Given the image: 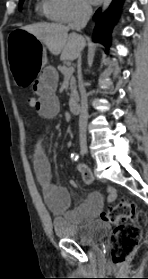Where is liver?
<instances>
[{"instance_id": "liver-1", "label": "liver", "mask_w": 148, "mask_h": 279, "mask_svg": "<svg viewBox=\"0 0 148 279\" xmlns=\"http://www.w3.org/2000/svg\"><path fill=\"white\" fill-rule=\"evenodd\" d=\"M22 29L45 44L53 55L61 54L62 61L78 58L86 44L82 36L76 33L68 34L69 28L57 23H38Z\"/></svg>"}]
</instances>
